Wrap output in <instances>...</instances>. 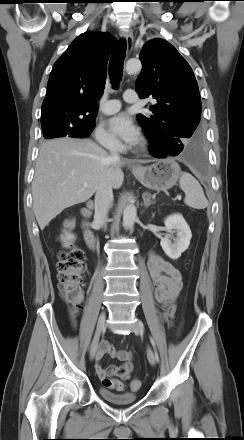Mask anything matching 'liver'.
<instances>
[{
  "label": "liver",
  "mask_w": 244,
  "mask_h": 440,
  "mask_svg": "<svg viewBox=\"0 0 244 440\" xmlns=\"http://www.w3.org/2000/svg\"><path fill=\"white\" fill-rule=\"evenodd\" d=\"M128 162L110 160L108 153L90 139L44 142L32 182L33 211L40 229L64 209L90 199L102 182L109 181L119 189L124 180L121 167ZM84 183L89 187L85 188Z\"/></svg>",
  "instance_id": "6515ba94"
}]
</instances>
